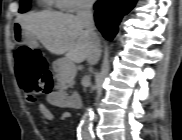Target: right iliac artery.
<instances>
[{
	"mask_svg": "<svg viewBox=\"0 0 182 140\" xmlns=\"http://www.w3.org/2000/svg\"><path fill=\"white\" fill-rule=\"evenodd\" d=\"M92 139H94L93 135L91 137H88L86 140H92Z\"/></svg>",
	"mask_w": 182,
	"mask_h": 140,
	"instance_id": "obj_1",
	"label": "right iliac artery"
}]
</instances>
